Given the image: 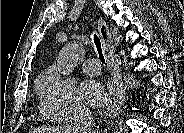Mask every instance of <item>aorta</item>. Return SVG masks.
<instances>
[{"mask_svg": "<svg viewBox=\"0 0 184 133\" xmlns=\"http://www.w3.org/2000/svg\"><path fill=\"white\" fill-rule=\"evenodd\" d=\"M82 52V45L78 42L66 44L57 57V70L64 76L70 75L77 66Z\"/></svg>", "mask_w": 184, "mask_h": 133, "instance_id": "aorta-1", "label": "aorta"}]
</instances>
